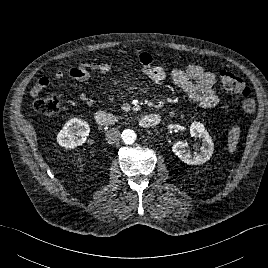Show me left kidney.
Returning <instances> with one entry per match:
<instances>
[{"instance_id": "5707ae66", "label": "left kidney", "mask_w": 268, "mask_h": 268, "mask_svg": "<svg viewBox=\"0 0 268 268\" xmlns=\"http://www.w3.org/2000/svg\"><path fill=\"white\" fill-rule=\"evenodd\" d=\"M190 134L193 137L199 138L202 142L199 153H191L186 142L177 141L172 146V151L184 163L188 165H200L208 161L214 151V143L211 136L200 122H193L190 126Z\"/></svg>"}]
</instances>
